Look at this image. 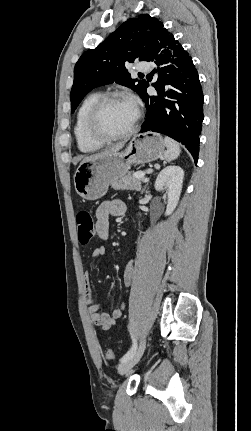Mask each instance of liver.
I'll return each mask as SVG.
<instances>
[{"label": "liver", "instance_id": "6515ba94", "mask_svg": "<svg viewBox=\"0 0 251 431\" xmlns=\"http://www.w3.org/2000/svg\"><path fill=\"white\" fill-rule=\"evenodd\" d=\"M124 145H125V142H121V143L114 145L113 147L106 149L100 153L85 157L83 159L82 163L86 162V161L96 160V159L103 157V156H106L108 154L118 152L119 150H121L124 147Z\"/></svg>", "mask_w": 251, "mask_h": 431}]
</instances>
